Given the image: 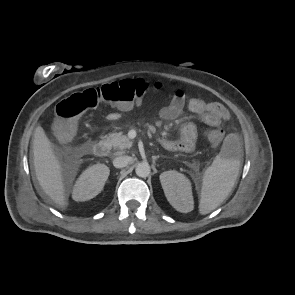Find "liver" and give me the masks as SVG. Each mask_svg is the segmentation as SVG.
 I'll return each mask as SVG.
<instances>
[{
    "label": "liver",
    "instance_id": "obj_1",
    "mask_svg": "<svg viewBox=\"0 0 295 295\" xmlns=\"http://www.w3.org/2000/svg\"><path fill=\"white\" fill-rule=\"evenodd\" d=\"M32 148L35 174L42 190L58 207L66 208L68 199L62 166L41 126L34 131Z\"/></svg>",
    "mask_w": 295,
    "mask_h": 295
}]
</instances>
